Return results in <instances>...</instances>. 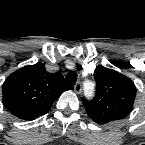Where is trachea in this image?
Here are the masks:
<instances>
[{"label":"trachea","instance_id":"1","mask_svg":"<svg viewBox=\"0 0 145 145\" xmlns=\"http://www.w3.org/2000/svg\"><path fill=\"white\" fill-rule=\"evenodd\" d=\"M66 81L69 84L74 85L77 81V74L74 71L68 72V74L66 75Z\"/></svg>","mask_w":145,"mask_h":145}]
</instances>
